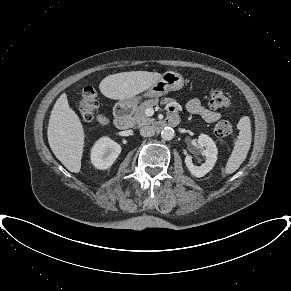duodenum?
Returning a JSON list of instances; mask_svg holds the SVG:
<instances>
[{
  "label": "duodenum",
  "instance_id": "1",
  "mask_svg": "<svg viewBox=\"0 0 291 291\" xmlns=\"http://www.w3.org/2000/svg\"><path fill=\"white\" fill-rule=\"evenodd\" d=\"M132 107L129 104H120L115 109L114 124L117 128L125 130L130 126V114ZM178 123L176 117H168L158 124L159 127L175 126Z\"/></svg>",
  "mask_w": 291,
  "mask_h": 291
}]
</instances>
